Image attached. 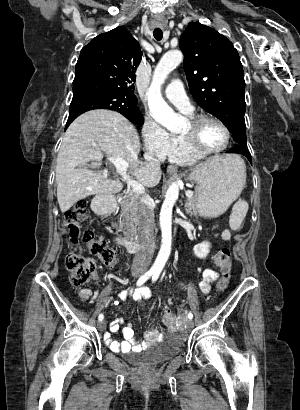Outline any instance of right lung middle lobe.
Returning <instances> with one entry per match:
<instances>
[{"label": "right lung middle lobe", "mask_w": 300, "mask_h": 410, "mask_svg": "<svg viewBox=\"0 0 300 410\" xmlns=\"http://www.w3.org/2000/svg\"><path fill=\"white\" fill-rule=\"evenodd\" d=\"M128 101L116 92L89 83L73 85V98L67 123L92 109H110L123 114L131 122L142 125L144 118L138 108L130 110Z\"/></svg>", "instance_id": "obj_1"}]
</instances>
